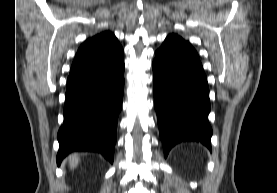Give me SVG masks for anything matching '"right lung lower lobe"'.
<instances>
[{
    "mask_svg": "<svg viewBox=\"0 0 277 193\" xmlns=\"http://www.w3.org/2000/svg\"><path fill=\"white\" fill-rule=\"evenodd\" d=\"M124 92L123 49L107 59L71 69L57 164L73 151H95L113 162L116 125Z\"/></svg>",
    "mask_w": 277,
    "mask_h": 193,
    "instance_id": "obj_1",
    "label": "right lung lower lobe"
}]
</instances>
